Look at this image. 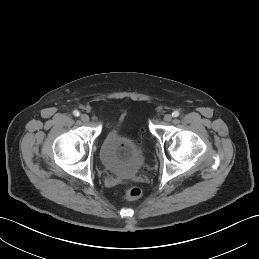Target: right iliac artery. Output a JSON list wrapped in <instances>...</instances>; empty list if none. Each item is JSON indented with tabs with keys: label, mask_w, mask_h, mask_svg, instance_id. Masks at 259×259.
Instances as JSON below:
<instances>
[{
	"label": "right iliac artery",
	"mask_w": 259,
	"mask_h": 259,
	"mask_svg": "<svg viewBox=\"0 0 259 259\" xmlns=\"http://www.w3.org/2000/svg\"><path fill=\"white\" fill-rule=\"evenodd\" d=\"M73 115L76 116V117H78V116L80 115V113H79L78 110H74V111H73Z\"/></svg>",
	"instance_id": "right-iliac-artery-1"
}]
</instances>
